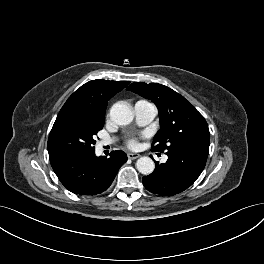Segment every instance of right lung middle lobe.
I'll return each mask as SVG.
<instances>
[{"label": "right lung middle lobe", "instance_id": "right-lung-middle-lobe-1", "mask_svg": "<svg viewBox=\"0 0 264 264\" xmlns=\"http://www.w3.org/2000/svg\"><path fill=\"white\" fill-rule=\"evenodd\" d=\"M104 121L66 114L57 119L48 139L50 162L70 156L94 152L95 135L103 128Z\"/></svg>", "mask_w": 264, "mask_h": 264}]
</instances>
